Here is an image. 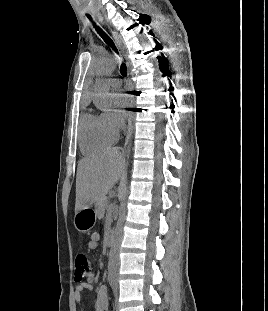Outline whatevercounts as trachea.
<instances>
[{
  "mask_svg": "<svg viewBox=\"0 0 268 311\" xmlns=\"http://www.w3.org/2000/svg\"><path fill=\"white\" fill-rule=\"evenodd\" d=\"M87 17L92 21L91 16L87 15ZM97 33L102 37V39L116 52L118 53V50L114 44V42L112 41V39L97 25H95V23L92 21ZM127 69H126V65L124 63L121 64L120 66V73L122 74V76L126 77L127 75Z\"/></svg>",
  "mask_w": 268,
  "mask_h": 311,
  "instance_id": "trachea-1",
  "label": "trachea"
}]
</instances>
